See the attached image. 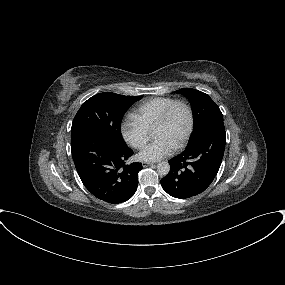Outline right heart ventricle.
I'll return each mask as SVG.
<instances>
[{"label":"right heart ventricle","mask_w":285,"mask_h":285,"mask_svg":"<svg viewBox=\"0 0 285 285\" xmlns=\"http://www.w3.org/2000/svg\"><path fill=\"white\" fill-rule=\"evenodd\" d=\"M176 99L170 97H155L140 103L134 115L150 130L154 127L164 110Z\"/></svg>","instance_id":"e07e8e85"}]
</instances>
